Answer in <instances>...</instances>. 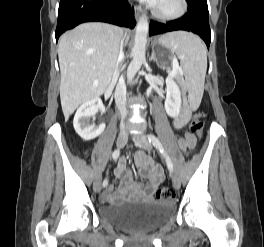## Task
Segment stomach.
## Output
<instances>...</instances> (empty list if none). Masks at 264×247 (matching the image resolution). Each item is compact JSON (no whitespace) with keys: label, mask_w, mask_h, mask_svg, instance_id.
<instances>
[{"label":"stomach","mask_w":264,"mask_h":247,"mask_svg":"<svg viewBox=\"0 0 264 247\" xmlns=\"http://www.w3.org/2000/svg\"><path fill=\"white\" fill-rule=\"evenodd\" d=\"M160 39V38H159ZM154 42L153 44V53L154 58H157L158 62H169V58H171V53H168V48L160 43V40ZM166 47V48H164ZM158 68H167V63H158Z\"/></svg>","instance_id":"stomach-1"}]
</instances>
